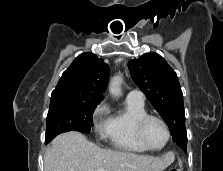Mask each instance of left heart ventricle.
<instances>
[{
    "mask_svg": "<svg viewBox=\"0 0 223 171\" xmlns=\"http://www.w3.org/2000/svg\"><path fill=\"white\" fill-rule=\"evenodd\" d=\"M145 137L152 146L160 147L165 143L167 133L159 121L151 120L146 125Z\"/></svg>",
    "mask_w": 223,
    "mask_h": 171,
    "instance_id": "b2bd125f",
    "label": "left heart ventricle"
}]
</instances>
